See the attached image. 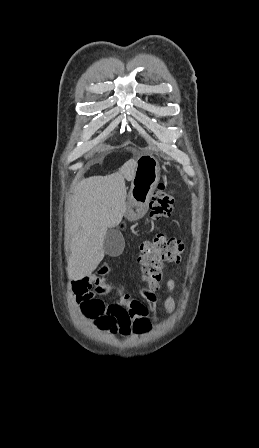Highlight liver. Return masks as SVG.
<instances>
[{
	"instance_id": "1",
	"label": "liver",
	"mask_w": 259,
	"mask_h": 448,
	"mask_svg": "<svg viewBox=\"0 0 259 448\" xmlns=\"http://www.w3.org/2000/svg\"><path fill=\"white\" fill-rule=\"evenodd\" d=\"M136 164L129 160L116 174L82 180L75 188L66 226L71 236L69 280L91 276L104 258L108 228L119 226L126 208V180H132Z\"/></svg>"
}]
</instances>
